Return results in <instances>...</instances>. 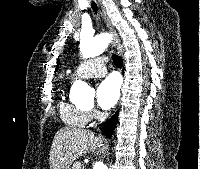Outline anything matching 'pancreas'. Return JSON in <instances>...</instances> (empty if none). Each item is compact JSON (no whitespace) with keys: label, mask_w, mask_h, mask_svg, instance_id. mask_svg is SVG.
I'll use <instances>...</instances> for the list:
<instances>
[{"label":"pancreas","mask_w":200,"mask_h":169,"mask_svg":"<svg viewBox=\"0 0 200 169\" xmlns=\"http://www.w3.org/2000/svg\"><path fill=\"white\" fill-rule=\"evenodd\" d=\"M71 169H82L80 162H75Z\"/></svg>","instance_id":"1"}]
</instances>
